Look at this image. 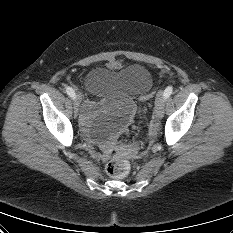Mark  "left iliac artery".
<instances>
[{"instance_id":"left-iliac-artery-1","label":"left iliac artery","mask_w":233,"mask_h":233,"mask_svg":"<svg viewBox=\"0 0 233 233\" xmlns=\"http://www.w3.org/2000/svg\"><path fill=\"white\" fill-rule=\"evenodd\" d=\"M173 92V87L172 86H168L165 90H164V98L167 99Z\"/></svg>"}]
</instances>
